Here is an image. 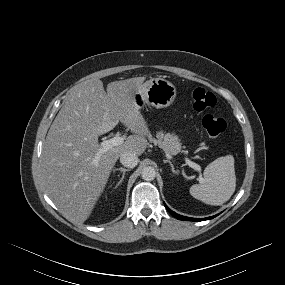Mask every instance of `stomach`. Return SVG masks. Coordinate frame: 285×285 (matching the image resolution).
Listing matches in <instances>:
<instances>
[{
	"label": "stomach",
	"mask_w": 285,
	"mask_h": 285,
	"mask_svg": "<svg viewBox=\"0 0 285 285\" xmlns=\"http://www.w3.org/2000/svg\"><path fill=\"white\" fill-rule=\"evenodd\" d=\"M175 97V86L160 77L152 78L145 82L134 95L135 102L139 108H142L145 104L156 108H166L173 103Z\"/></svg>",
	"instance_id": "1"
}]
</instances>
